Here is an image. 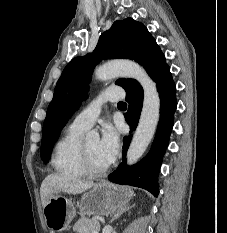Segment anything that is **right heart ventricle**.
<instances>
[{
	"instance_id": "obj_1",
	"label": "right heart ventricle",
	"mask_w": 227,
	"mask_h": 233,
	"mask_svg": "<svg viewBox=\"0 0 227 233\" xmlns=\"http://www.w3.org/2000/svg\"><path fill=\"white\" fill-rule=\"evenodd\" d=\"M84 130L70 125L55 145L51 164L61 176L70 179L86 175L81 163V134Z\"/></svg>"
}]
</instances>
